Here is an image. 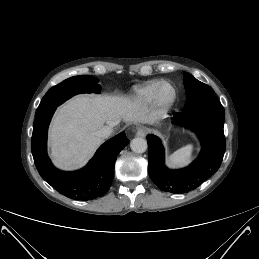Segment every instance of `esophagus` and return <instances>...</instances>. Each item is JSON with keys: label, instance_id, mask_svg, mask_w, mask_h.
I'll list each match as a JSON object with an SVG mask.
<instances>
[{"label": "esophagus", "instance_id": "34e87169", "mask_svg": "<svg viewBox=\"0 0 259 259\" xmlns=\"http://www.w3.org/2000/svg\"><path fill=\"white\" fill-rule=\"evenodd\" d=\"M148 131L144 127H138L136 128V135L139 137H145L147 135Z\"/></svg>", "mask_w": 259, "mask_h": 259}]
</instances>
